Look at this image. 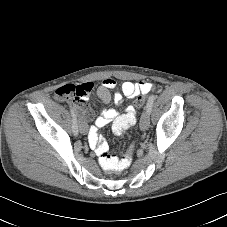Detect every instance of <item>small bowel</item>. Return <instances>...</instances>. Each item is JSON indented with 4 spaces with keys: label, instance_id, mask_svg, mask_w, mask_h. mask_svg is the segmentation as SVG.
Segmentation results:
<instances>
[{
    "label": "small bowel",
    "instance_id": "1",
    "mask_svg": "<svg viewBox=\"0 0 227 227\" xmlns=\"http://www.w3.org/2000/svg\"><path fill=\"white\" fill-rule=\"evenodd\" d=\"M116 85L117 83L113 78L108 77L102 80L97 91L98 97L102 102L107 103L113 99L115 104L119 105L122 103L124 97L133 98L139 94H146L152 88V84L148 81H125L121 84L120 90L115 91L112 96L110 91L115 89ZM76 86L81 89L82 94L72 98L71 107L79 115L80 126L86 128L88 132L90 147L95 150L98 156L108 153V143L103 137L98 135V128L104 127L112 122L114 133L119 135L129 126L136 123V110L133 106L128 107L124 113H120L116 109H103L101 114L95 119V124L87 128V122L91 119V116L87 111L85 102L93 89V83L85 82Z\"/></svg>",
    "mask_w": 227,
    "mask_h": 227
}]
</instances>
